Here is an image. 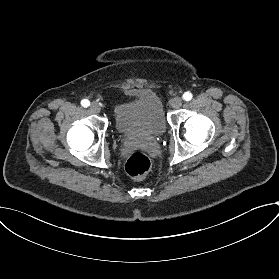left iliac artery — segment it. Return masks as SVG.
<instances>
[{
    "label": "left iliac artery",
    "instance_id": "left-iliac-artery-1",
    "mask_svg": "<svg viewBox=\"0 0 279 279\" xmlns=\"http://www.w3.org/2000/svg\"><path fill=\"white\" fill-rule=\"evenodd\" d=\"M182 98L185 100V101H189L192 99V93L190 92H185L182 96Z\"/></svg>",
    "mask_w": 279,
    "mask_h": 279
}]
</instances>
